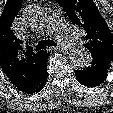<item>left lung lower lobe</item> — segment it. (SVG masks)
<instances>
[{
    "instance_id": "0a47b994",
    "label": "left lung lower lobe",
    "mask_w": 113,
    "mask_h": 113,
    "mask_svg": "<svg viewBox=\"0 0 113 113\" xmlns=\"http://www.w3.org/2000/svg\"><path fill=\"white\" fill-rule=\"evenodd\" d=\"M110 66L109 62L94 56L89 67L84 70H75V76L82 85L96 87L105 81Z\"/></svg>"
}]
</instances>
